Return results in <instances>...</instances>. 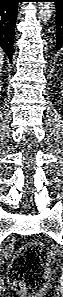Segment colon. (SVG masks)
Here are the masks:
<instances>
[{
  "mask_svg": "<svg viewBox=\"0 0 63 297\" xmlns=\"http://www.w3.org/2000/svg\"><path fill=\"white\" fill-rule=\"evenodd\" d=\"M48 254L39 242L23 245L16 253L9 270L14 289L35 296L46 287L49 280Z\"/></svg>",
  "mask_w": 63,
  "mask_h": 297,
  "instance_id": "colon-1",
  "label": "colon"
}]
</instances>
